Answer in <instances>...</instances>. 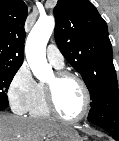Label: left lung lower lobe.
Returning <instances> with one entry per match:
<instances>
[{
    "mask_svg": "<svg viewBox=\"0 0 119 141\" xmlns=\"http://www.w3.org/2000/svg\"><path fill=\"white\" fill-rule=\"evenodd\" d=\"M88 120L119 141V94H113L91 106Z\"/></svg>",
    "mask_w": 119,
    "mask_h": 141,
    "instance_id": "obj_1",
    "label": "left lung lower lobe"
}]
</instances>
